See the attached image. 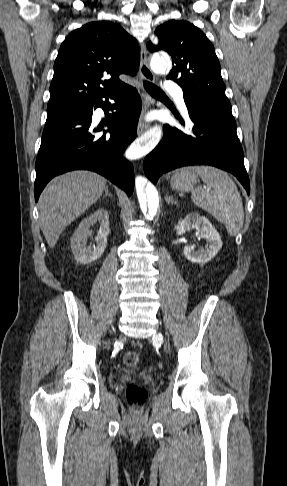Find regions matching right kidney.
<instances>
[{
  "label": "right kidney",
  "instance_id": "ca27d5eb",
  "mask_svg": "<svg viewBox=\"0 0 287 486\" xmlns=\"http://www.w3.org/2000/svg\"><path fill=\"white\" fill-rule=\"evenodd\" d=\"M97 222L100 224V228L95 237L96 245L92 247L87 246V239L90 233L89 229ZM109 232V214L107 210L98 209L83 219L70 240L71 250L75 260L81 264H88L99 259L107 246Z\"/></svg>",
  "mask_w": 287,
  "mask_h": 486
}]
</instances>
